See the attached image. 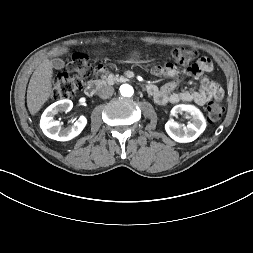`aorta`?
<instances>
[{"label": "aorta", "instance_id": "aorta-1", "mask_svg": "<svg viewBox=\"0 0 253 253\" xmlns=\"http://www.w3.org/2000/svg\"><path fill=\"white\" fill-rule=\"evenodd\" d=\"M120 93L124 97H131L134 93L133 87L129 84H123L120 86Z\"/></svg>", "mask_w": 253, "mask_h": 253}]
</instances>
